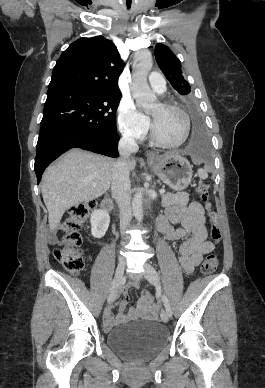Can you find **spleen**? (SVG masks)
<instances>
[{"mask_svg":"<svg viewBox=\"0 0 265 388\" xmlns=\"http://www.w3.org/2000/svg\"><path fill=\"white\" fill-rule=\"evenodd\" d=\"M198 174H199L200 178H205V176H206L204 170H198Z\"/></svg>","mask_w":265,"mask_h":388,"instance_id":"spleen-1","label":"spleen"}]
</instances>
